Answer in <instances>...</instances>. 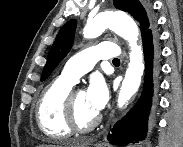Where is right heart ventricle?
<instances>
[{
  "mask_svg": "<svg viewBox=\"0 0 183 147\" xmlns=\"http://www.w3.org/2000/svg\"><path fill=\"white\" fill-rule=\"evenodd\" d=\"M73 85L74 83L58 77L45 87L37 102L38 126L51 139H65L72 134L66 122L65 103Z\"/></svg>",
  "mask_w": 183,
  "mask_h": 147,
  "instance_id": "obj_1",
  "label": "right heart ventricle"
}]
</instances>
